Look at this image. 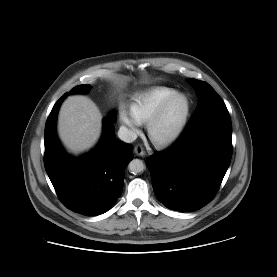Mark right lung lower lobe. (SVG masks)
<instances>
[{"mask_svg":"<svg viewBox=\"0 0 277 277\" xmlns=\"http://www.w3.org/2000/svg\"><path fill=\"white\" fill-rule=\"evenodd\" d=\"M63 100L61 97L55 103L45 126L46 172L68 209L88 216L103 214L121 195L124 172L133 159L132 147L114 137L113 124L105 119L97 147L77 158L69 156L56 136V118Z\"/></svg>","mask_w":277,"mask_h":277,"instance_id":"1","label":"right lung lower lobe"}]
</instances>
